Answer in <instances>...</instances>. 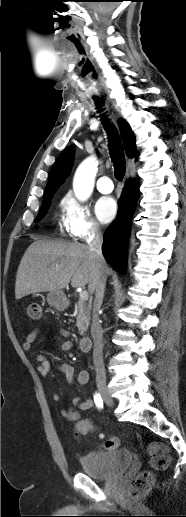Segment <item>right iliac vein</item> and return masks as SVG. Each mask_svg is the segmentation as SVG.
<instances>
[{"label":"right iliac vein","instance_id":"obj_1","mask_svg":"<svg viewBox=\"0 0 186 517\" xmlns=\"http://www.w3.org/2000/svg\"><path fill=\"white\" fill-rule=\"evenodd\" d=\"M98 391H99V394L101 395V397L103 398V400L105 401V403L109 406H112L113 399H112L108 389L103 384H99Z\"/></svg>","mask_w":186,"mask_h":517}]
</instances>
